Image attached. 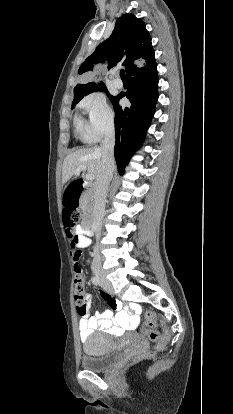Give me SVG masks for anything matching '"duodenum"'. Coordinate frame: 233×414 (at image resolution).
I'll return each mask as SVG.
<instances>
[{
  "mask_svg": "<svg viewBox=\"0 0 233 414\" xmlns=\"http://www.w3.org/2000/svg\"><path fill=\"white\" fill-rule=\"evenodd\" d=\"M88 185L86 182L82 179H71L69 184L66 186V189L64 190V193L66 194L65 200L62 201V206L64 207V210L66 212H71L76 210V205H78L80 195L82 194L85 187ZM85 199L91 200L92 199V190L86 189L85 190ZM93 204H88L86 211L82 213V218L84 219L83 222V229L84 231L93 234Z\"/></svg>",
  "mask_w": 233,
  "mask_h": 414,
  "instance_id": "1",
  "label": "duodenum"
}]
</instances>
